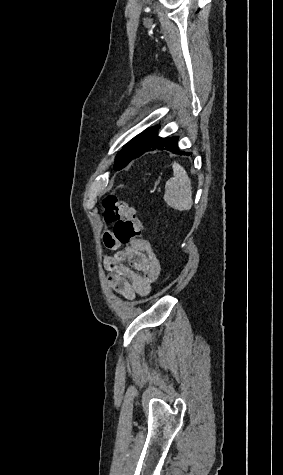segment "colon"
<instances>
[{
    "instance_id": "obj_1",
    "label": "colon",
    "mask_w": 283,
    "mask_h": 475,
    "mask_svg": "<svg viewBox=\"0 0 283 475\" xmlns=\"http://www.w3.org/2000/svg\"><path fill=\"white\" fill-rule=\"evenodd\" d=\"M103 218L107 223L119 224V233H114V235L120 243L127 244L133 240H143L142 225L135 208L113 194L106 195L104 198Z\"/></svg>"
}]
</instances>
